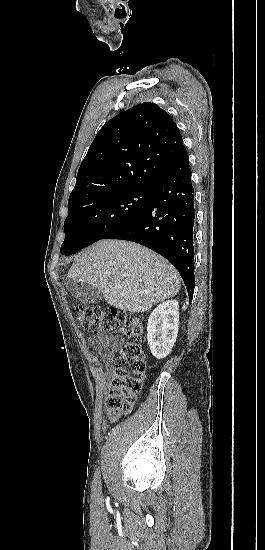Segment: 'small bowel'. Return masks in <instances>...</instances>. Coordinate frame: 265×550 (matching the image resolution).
Wrapping results in <instances>:
<instances>
[{"label":"small bowel","mask_w":265,"mask_h":550,"mask_svg":"<svg viewBox=\"0 0 265 550\" xmlns=\"http://www.w3.org/2000/svg\"><path fill=\"white\" fill-rule=\"evenodd\" d=\"M123 342L121 337L109 336L105 334H100L89 339V345L92 350H94L103 360V363L106 368H110L114 352L113 350L118 348ZM91 361H96V356L93 353L89 354Z\"/></svg>","instance_id":"c3829d8e"}]
</instances>
